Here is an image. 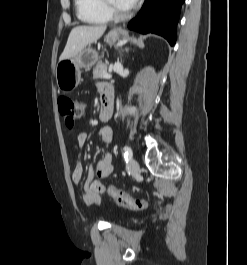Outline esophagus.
Returning a JSON list of instances; mask_svg holds the SVG:
<instances>
[{
  "label": "esophagus",
  "instance_id": "esophagus-1",
  "mask_svg": "<svg viewBox=\"0 0 247 265\" xmlns=\"http://www.w3.org/2000/svg\"><path fill=\"white\" fill-rule=\"evenodd\" d=\"M116 31H121V28L115 29Z\"/></svg>",
  "mask_w": 247,
  "mask_h": 265
}]
</instances>
